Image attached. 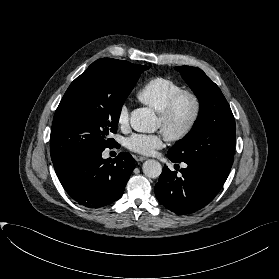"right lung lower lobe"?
I'll return each instance as SVG.
<instances>
[{"instance_id": "1", "label": "right lung lower lobe", "mask_w": 279, "mask_h": 279, "mask_svg": "<svg viewBox=\"0 0 279 279\" xmlns=\"http://www.w3.org/2000/svg\"><path fill=\"white\" fill-rule=\"evenodd\" d=\"M103 150L53 163L65 191L89 208L107 206L118 200L135 168L134 158L121 152L115 159H103Z\"/></svg>"}]
</instances>
